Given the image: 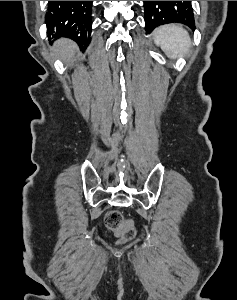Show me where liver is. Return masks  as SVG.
Returning <instances> with one entry per match:
<instances>
[{
  "label": "liver",
  "instance_id": "liver-1",
  "mask_svg": "<svg viewBox=\"0 0 237 300\" xmlns=\"http://www.w3.org/2000/svg\"><path fill=\"white\" fill-rule=\"evenodd\" d=\"M53 47L54 49H58L64 63L71 61L77 51L76 43H73L70 39H59Z\"/></svg>",
  "mask_w": 237,
  "mask_h": 300
}]
</instances>
